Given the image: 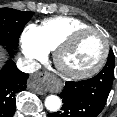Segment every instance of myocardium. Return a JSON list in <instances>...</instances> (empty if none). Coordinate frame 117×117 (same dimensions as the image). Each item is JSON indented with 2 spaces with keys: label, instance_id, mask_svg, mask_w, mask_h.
I'll return each mask as SVG.
<instances>
[{
  "label": "myocardium",
  "instance_id": "f54148a6",
  "mask_svg": "<svg viewBox=\"0 0 117 117\" xmlns=\"http://www.w3.org/2000/svg\"><path fill=\"white\" fill-rule=\"evenodd\" d=\"M88 33L97 34L101 36L103 40L104 49L100 59L97 61L95 65H93L92 67L86 70L73 71V70L67 69L63 65V61H62L63 56L74 45V43L80 36ZM109 50H110V46H109L108 38L101 30L94 27L81 28L71 32L60 42V44L57 46V48L54 51V63L59 73L65 78L73 79V80H81V79L89 78L101 70V68L104 66L108 58Z\"/></svg>",
  "mask_w": 117,
  "mask_h": 117
}]
</instances>
